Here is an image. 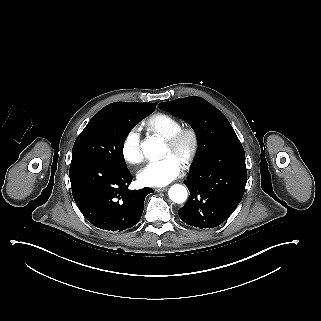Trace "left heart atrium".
<instances>
[{
    "instance_id": "obj_1",
    "label": "left heart atrium",
    "mask_w": 321,
    "mask_h": 321,
    "mask_svg": "<svg viewBox=\"0 0 321 321\" xmlns=\"http://www.w3.org/2000/svg\"><path fill=\"white\" fill-rule=\"evenodd\" d=\"M184 171L181 159L169 154L165 158L149 162L138 172V180L144 186L162 187L176 178Z\"/></svg>"
}]
</instances>
